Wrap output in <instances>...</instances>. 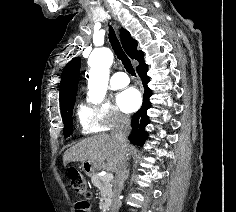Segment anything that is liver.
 I'll return each mask as SVG.
<instances>
[{
  "label": "liver",
  "mask_w": 236,
  "mask_h": 212,
  "mask_svg": "<svg viewBox=\"0 0 236 212\" xmlns=\"http://www.w3.org/2000/svg\"><path fill=\"white\" fill-rule=\"evenodd\" d=\"M132 147L127 146L128 151ZM122 146L117 139L108 134L96 135L83 139L63 155V164L66 166L70 162L89 161L97 168L105 167L109 171H117L122 160ZM107 163L104 164V161Z\"/></svg>",
  "instance_id": "obj_1"
}]
</instances>
